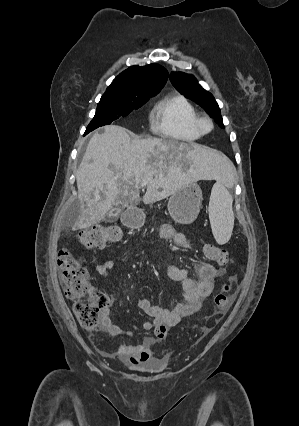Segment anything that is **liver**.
<instances>
[{"label":"liver","instance_id":"obj_1","mask_svg":"<svg viewBox=\"0 0 299 426\" xmlns=\"http://www.w3.org/2000/svg\"><path fill=\"white\" fill-rule=\"evenodd\" d=\"M233 164L221 152L161 138H131L117 125L95 133L76 172L80 215L76 229L101 222L115 205L140 202V184L146 182L145 204L160 201L200 178L225 179Z\"/></svg>","mask_w":299,"mask_h":426}]
</instances>
